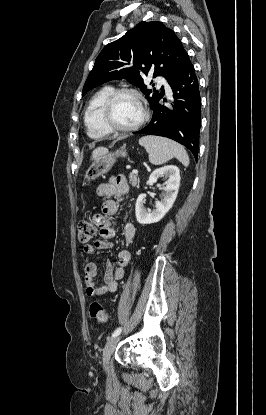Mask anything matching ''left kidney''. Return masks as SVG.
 <instances>
[{
	"label": "left kidney",
	"mask_w": 266,
	"mask_h": 415,
	"mask_svg": "<svg viewBox=\"0 0 266 415\" xmlns=\"http://www.w3.org/2000/svg\"><path fill=\"white\" fill-rule=\"evenodd\" d=\"M164 176L167 179L166 185L160 188L165 191L164 198L162 201L155 203V209L148 211L144 208L146 194H140L137 198L135 205L136 219L142 225L159 222L175 202L180 185V170L178 167L168 165L154 170L147 181V185H153L158 178Z\"/></svg>",
	"instance_id": "left-kidney-1"
}]
</instances>
